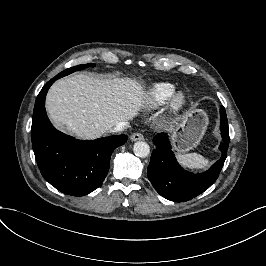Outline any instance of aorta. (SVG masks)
Returning <instances> with one entry per match:
<instances>
[{
	"instance_id": "762f6f07",
	"label": "aorta",
	"mask_w": 266,
	"mask_h": 266,
	"mask_svg": "<svg viewBox=\"0 0 266 266\" xmlns=\"http://www.w3.org/2000/svg\"><path fill=\"white\" fill-rule=\"evenodd\" d=\"M133 152L136 156L145 158L150 154V146L144 141H137L133 145Z\"/></svg>"
}]
</instances>
